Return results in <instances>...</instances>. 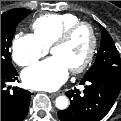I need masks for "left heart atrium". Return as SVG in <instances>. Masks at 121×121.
Returning a JSON list of instances; mask_svg holds the SVG:
<instances>
[{
	"label": "left heart atrium",
	"instance_id": "1",
	"mask_svg": "<svg viewBox=\"0 0 121 121\" xmlns=\"http://www.w3.org/2000/svg\"><path fill=\"white\" fill-rule=\"evenodd\" d=\"M69 67L58 56H52L23 71L25 85L38 90H55L67 79Z\"/></svg>",
	"mask_w": 121,
	"mask_h": 121
}]
</instances>
